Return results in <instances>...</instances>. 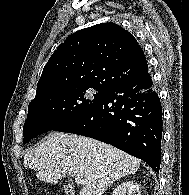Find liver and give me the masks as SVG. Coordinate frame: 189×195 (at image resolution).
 Returning a JSON list of instances; mask_svg holds the SVG:
<instances>
[{"label": "liver", "mask_w": 189, "mask_h": 195, "mask_svg": "<svg viewBox=\"0 0 189 195\" xmlns=\"http://www.w3.org/2000/svg\"><path fill=\"white\" fill-rule=\"evenodd\" d=\"M26 168L44 182L58 183L67 174L87 181L80 195H102L116 180L134 174L140 160L98 140L52 132L23 158Z\"/></svg>", "instance_id": "liver-1"}]
</instances>
